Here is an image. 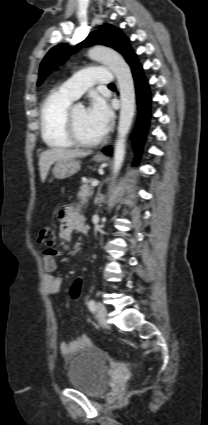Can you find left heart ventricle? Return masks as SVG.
Listing matches in <instances>:
<instances>
[{
  "label": "left heart ventricle",
  "mask_w": 208,
  "mask_h": 425,
  "mask_svg": "<svg viewBox=\"0 0 208 425\" xmlns=\"http://www.w3.org/2000/svg\"><path fill=\"white\" fill-rule=\"evenodd\" d=\"M74 120L78 135L81 139L85 141H94L101 138L90 122L87 110L84 107L76 106L74 110Z\"/></svg>",
  "instance_id": "left-heart-ventricle-1"
}]
</instances>
